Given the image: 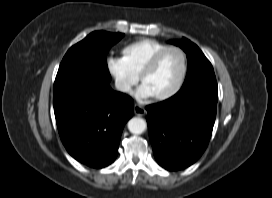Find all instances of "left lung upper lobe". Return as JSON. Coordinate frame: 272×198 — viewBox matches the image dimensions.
I'll return each mask as SVG.
<instances>
[{
	"instance_id": "obj_1",
	"label": "left lung upper lobe",
	"mask_w": 272,
	"mask_h": 198,
	"mask_svg": "<svg viewBox=\"0 0 272 198\" xmlns=\"http://www.w3.org/2000/svg\"><path fill=\"white\" fill-rule=\"evenodd\" d=\"M169 43L181 47L187 54L188 72L183 86L196 81L216 79L213 67L197 45L190 40H170Z\"/></svg>"
}]
</instances>
